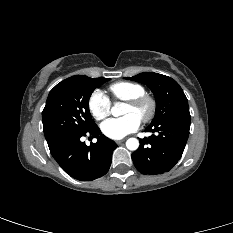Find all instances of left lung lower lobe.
<instances>
[{
	"mask_svg": "<svg viewBox=\"0 0 233 233\" xmlns=\"http://www.w3.org/2000/svg\"><path fill=\"white\" fill-rule=\"evenodd\" d=\"M190 122L189 110H184L149 125L145 131L153 135L140 139V147L132 153L137 170L145 175H156L173 168L184 151Z\"/></svg>",
	"mask_w": 233,
	"mask_h": 233,
	"instance_id": "obj_1",
	"label": "left lung lower lobe"
}]
</instances>
